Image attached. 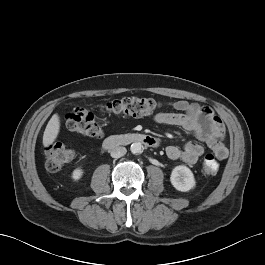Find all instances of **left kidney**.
<instances>
[{"label": "left kidney", "mask_w": 265, "mask_h": 265, "mask_svg": "<svg viewBox=\"0 0 265 265\" xmlns=\"http://www.w3.org/2000/svg\"><path fill=\"white\" fill-rule=\"evenodd\" d=\"M170 181L173 187L181 192H187L196 185L192 171L184 165L176 166L172 170Z\"/></svg>", "instance_id": "1"}]
</instances>
